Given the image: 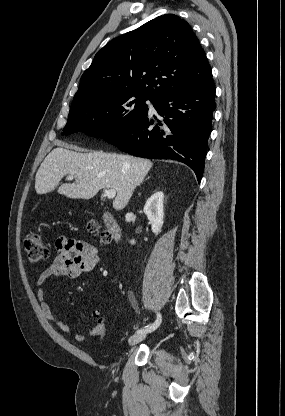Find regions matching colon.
Returning <instances> with one entry per match:
<instances>
[{"label": "colon", "instance_id": "obj_1", "mask_svg": "<svg viewBox=\"0 0 285 416\" xmlns=\"http://www.w3.org/2000/svg\"><path fill=\"white\" fill-rule=\"evenodd\" d=\"M88 229L91 231L97 230V224L93 221L89 222ZM101 238L104 242L108 243L111 241V234L103 232L101 234ZM24 246L27 258L31 263L35 264L41 262L48 259L50 256V249L48 245L36 233H31L26 237ZM94 317L97 321L100 320V315L97 312H94Z\"/></svg>", "mask_w": 285, "mask_h": 416}]
</instances>
